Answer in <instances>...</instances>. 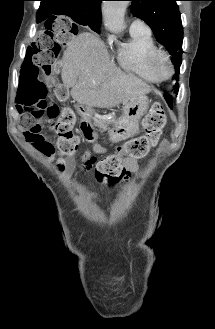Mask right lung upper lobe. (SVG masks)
Masks as SVG:
<instances>
[{"instance_id": "1", "label": "right lung upper lobe", "mask_w": 215, "mask_h": 329, "mask_svg": "<svg viewBox=\"0 0 215 329\" xmlns=\"http://www.w3.org/2000/svg\"><path fill=\"white\" fill-rule=\"evenodd\" d=\"M37 22L53 20L56 15L70 13L81 15L87 22L101 23V1L103 0H40Z\"/></svg>"}]
</instances>
